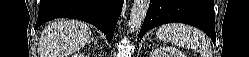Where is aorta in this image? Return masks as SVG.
<instances>
[{"label": "aorta", "instance_id": "obj_1", "mask_svg": "<svg viewBox=\"0 0 249 57\" xmlns=\"http://www.w3.org/2000/svg\"><path fill=\"white\" fill-rule=\"evenodd\" d=\"M149 5L150 0H134L128 24L131 32H134L141 27L149 9Z\"/></svg>", "mask_w": 249, "mask_h": 57}]
</instances>
